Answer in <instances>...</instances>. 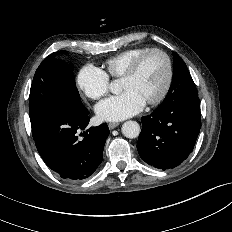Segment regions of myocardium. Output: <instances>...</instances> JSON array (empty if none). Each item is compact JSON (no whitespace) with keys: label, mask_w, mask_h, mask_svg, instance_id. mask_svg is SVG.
<instances>
[{"label":"myocardium","mask_w":232,"mask_h":232,"mask_svg":"<svg viewBox=\"0 0 232 232\" xmlns=\"http://www.w3.org/2000/svg\"><path fill=\"white\" fill-rule=\"evenodd\" d=\"M155 53L162 55L165 59V62H166V80H165V83H164V86H163L161 92L155 98L148 100L146 102L147 105H156V104L160 103L161 101H163V99L167 96V94L171 88L172 81H173V65H172L171 58L167 54V52H165L164 50L159 49V48H150V49L144 51L143 53H141L139 56H137L130 63V65L128 66L126 71L121 76V80L132 78L139 70L143 61L149 55L155 54Z\"/></svg>","instance_id":"obj_1"}]
</instances>
